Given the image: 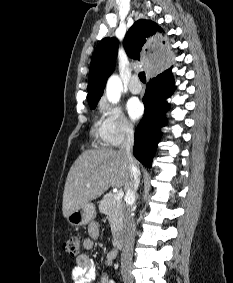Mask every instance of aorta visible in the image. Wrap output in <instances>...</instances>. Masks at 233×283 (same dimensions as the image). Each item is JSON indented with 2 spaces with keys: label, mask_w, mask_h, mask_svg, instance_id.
<instances>
[{
  "label": "aorta",
  "mask_w": 233,
  "mask_h": 283,
  "mask_svg": "<svg viewBox=\"0 0 233 283\" xmlns=\"http://www.w3.org/2000/svg\"><path fill=\"white\" fill-rule=\"evenodd\" d=\"M122 82L117 75H112L106 85V97L109 102L117 103L120 100Z\"/></svg>",
  "instance_id": "obj_1"
}]
</instances>
